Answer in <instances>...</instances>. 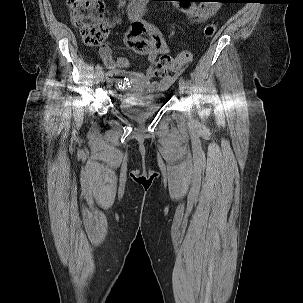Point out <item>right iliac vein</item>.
Returning <instances> with one entry per match:
<instances>
[{"mask_svg": "<svg viewBox=\"0 0 303 303\" xmlns=\"http://www.w3.org/2000/svg\"><path fill=\"white\" fill-rule=\"evenodd\" d=\"M106 83H107V87H111L113 84V78L112 76H109L108 78H106Z\"/></svg>", "mask_w": 303, "mask_h": 303, "instance_id": "63e3f726", "label": "right iliac vein"}]
</instances>
